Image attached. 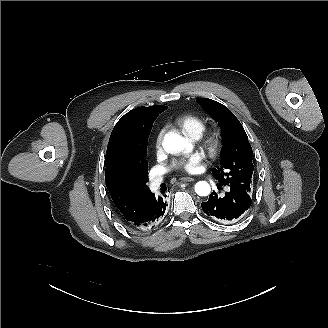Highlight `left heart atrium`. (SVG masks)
<instances>
[{
	"label": "left heart atrium",
	"mask_w": 328,
	"mask_h": 328,
	"mask_svg": "<svg viewBox=\"0 0 328 328\" xmlns=\"http://www.w3.org/2000/svg\"><path fill=\"white\" fill-rule=\"evenodd\" d=\"M176 168L189 174H198L203 171L204 164L199 155H190L184 161L178 163Z\"/></svg>",
	"instance_id": "obj_1"
}]
</instances>
